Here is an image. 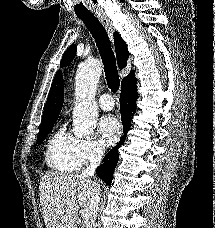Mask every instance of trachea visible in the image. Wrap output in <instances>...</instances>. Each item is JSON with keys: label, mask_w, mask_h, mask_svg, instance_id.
Segmentation results:
<instances>
[{"label": "trachea", "mask_w": 215, "mask_h": 228, "mask_svg": "<svg viewBox=\"0 0 215 228\" xmlns=\"http://www.w3.org/2000/svg\"><path fill=\"white\" fill-rule=\"evenodd\" d=\"M77 17L84 22L87 29L92 33L104 64L107 85L112 92H116L119 90L120 80L115 55L105 28L91 13L77 14Z\"/></svg>", "instance_id": "1"}]
</instances>
